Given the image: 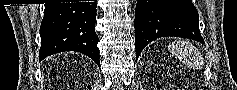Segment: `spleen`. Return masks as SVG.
<instances>
[{
	"instance_id": "spleen-1",
	"label": "spleen",
	"mask_w": 237,
	"mask_h": 90,
	"mask_svg": "<svg viewBox=\"0 0 237 90\" xmlns=\"http://www.w3.org/2000/svg\"><path fill=\"white\" fill-rule=\"evenodd\" d=\"M168 48L174 56H177V58L184 56V58H190L193 64L200 62V60H197V58H199V54H197L196 48H194L192 44H188V42H173V44L168 46Z\"/></svg>"
}]
</instances>
